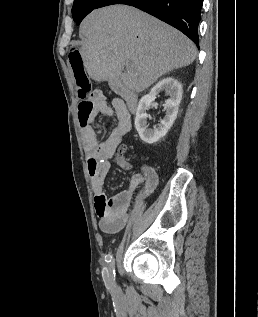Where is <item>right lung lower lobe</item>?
<instances>
[{
    "label": "right lung lower lobe",
    "mask_w": 258,
    "mask_h": 317,
    "mask_svg": "<svg viewBox=\"0 0 258 317\" xmlns=\"http://www.w3.org/2000/svg\"><path fill=\"white\" fill-rule=\"evenodd\" d=\"M203 0H87L80 10L77 25L91 11L112 4H126L143 10L188 36L199 48L198 25Z\"/></svg>",
    "instance_id": "right-lung-lower-lobe-1"
}]
</instances>
